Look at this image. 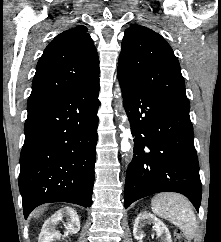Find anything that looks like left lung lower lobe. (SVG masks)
Returning a JSON list of instances; mask_svg holds the SVG:
<instances>
[{"label":"left lung lower lobe","instance_id":"left-lung-lower-lobe-1","mask_svg":"<svg viewBox=\"0 0 221 242\" xmlns=\"http://www.w3.org/2000/svg\"><path fill=\"white\" fill-rule=\"evenodd\" d=\"M123 105L134 137L124 206L145 196L178 192L199 211L202 186L190 108L159 98L118 70Z\"/></svg>","mask_w":221,"mask_h":242}]
</instances>
